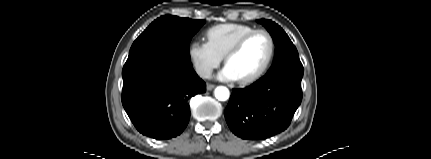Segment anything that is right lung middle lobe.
Segmentation results:
<instances>
[{
  "label": "right lung middle lobe",
  "mask_w": 431,
  "mask_h": 159,
  "mask_svg": "<svg viewBox=\"0 0 431 159\" xmlns=\"http://www.w3.org/2000/svg\"><path fill=\"white\" fill-rule=\"evenodd\" d=\"M204 20L164 15L154 20L133 42L129 56L150 48L170 50L190 60L189 44Z\"/></svg>",
  "instance_id": "right-lung-middle-lobe-1"
}]
</instances>
